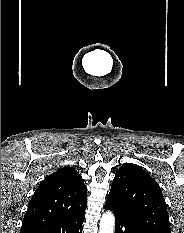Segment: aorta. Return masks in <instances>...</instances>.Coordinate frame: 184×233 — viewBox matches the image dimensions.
I'll use <instances>...</instances> for the list:
<instances>
[{"instance_id": "obj_1", "label": "aorta", "mask_w": 184, "mask_h": 233, "mask_svg": "<svg viewBox=\"0 0 184 233\" xmlns=\"http://www.w3.org/2000/svg\"><path fill=\"white\" fill-rule=\"evenodd\" d=\"M114 223V215L111 212L104 213L100 220L99 233H114Z\"/></svg>"}]
</instances>
